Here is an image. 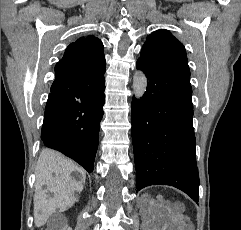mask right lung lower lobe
<instances>
[{
  "label": "right lung lower lobe",
  "instance_id": "98d812e1",
  "mask_svg": "<svg viewBox=\"0 0 241 230\" xmlns=\"http://www.w3.org/2000/svg\"><path fill=\"white\" fill-rule=\"evenodd\" d=\"M104 72L55 66V80L45 107L44 145L72 158L88 172L94 169L99 123L103 117Z\"/></svg>",
  "mask_w": 241,
  "mask_h": 230
}]
</instances>
